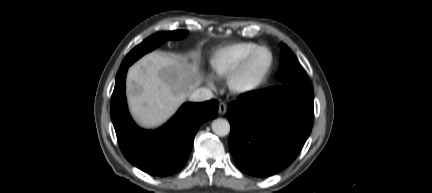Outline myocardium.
<instances>
[{
	"label": "myocardium",
	"instance_id": "myocardium-1",
	"mask_svg": "<svg viewBox=\"0 0 432 193\" xmlns=\"http://www.w3.org/2000/svg\"><path fill=\"white\" fill-rule=\"evenodd\" d=\"M266 50L270 55L269 65L264 74L256 80L247 81L244 75L254 59V57L261 51ZM275 58L273 51L267 46H258L255 48L229 75L228 84L230 89L239 95H248L259 91L263 88L273 71Z\"/></svg>",
	"mask_w": 432,
	"mask_h": 193
}]
</instances>
